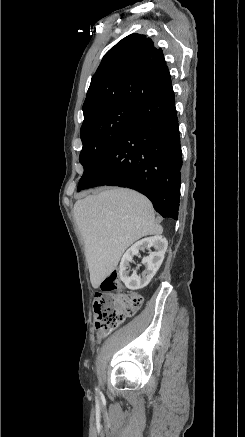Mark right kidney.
<instances>
[{
  "label": "right kidney",
  "instance_id": "right-kidney-1",
  "mask_svg": "<svg viewBox=\"0 0 245 437\" xmlns=\"http://www.w3.org/2000/svg\"><path fill=\"white\" fill-rule=\"evenodd\" d=\"M168 247V242L165 237L156 235L154 237L144 238L133 244L123 255L120 262V279L125 286L130 290L142 289L149 284L158 269L160 268L165 252ZM154 248L155 251H151ZM150 250V254L142 259V264L145 265V270L141 275H137L136 270L129 275L128 268L132 262L134 255L139 253V250Z\"/></svg>",
  "mask_w": 245,
  "mask_h": 437
}]
</instances>
